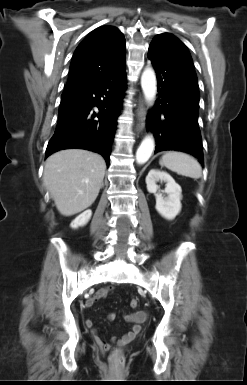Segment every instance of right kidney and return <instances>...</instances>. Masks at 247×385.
I'll return each instance as SVG.
<instances>
[{
	"label": "right kidney",
	"instance_id": "obj_1",
	"mask_svg": "<svg viewBox=\"0 0 247 385\" xmlns=\"http://www.w3.org/2000/svg\"><path fill=\"white\" fill-rule=\"evenodd\" d=\"M91 216H92V211L91 210H86L83 213H81L79 216H77L72 221L70 226L73 229H77L78 227H82V226H84V225H86L88 223V221L90 220Z\"/></svg>",
	"mask_w": 247,
	"mask_h": 385
}]
</instances>
